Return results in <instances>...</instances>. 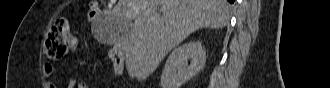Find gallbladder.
<instances>
[{"instance_id": "obj_1", "label": "gallbladder", "mask_w": 330, "mask_h": 88, "mask_svg": "<svg viewBox=\"0 0 330 88\" xmlns=\"http://www.w3.org/2000/svg\"><path fill=\"white\" fill-rule=\"evenodd\" d=\"M110 21L111 19H108L103 28V40L107 44H115L130 31L133 22L131 20L125 21L124 23Z\"/></svg>"}]
</instances>
